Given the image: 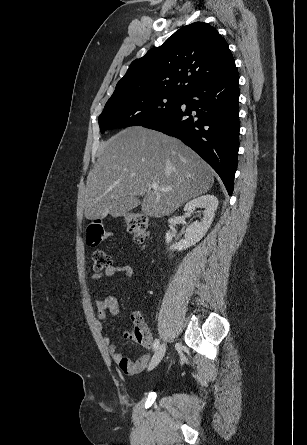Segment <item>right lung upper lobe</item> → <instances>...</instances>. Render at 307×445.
Masks as SVG:
<instances>
[{
  "label": "right lung upper lobe",
  "instance_id": "right-lung-upper-lobe-1",
  "mask_svg": "<svg viewBox=\"0 0 307 445\" xmlns=\"http://www.w3.org/2000/svg\"><path fill=\"white\" fill-rule=\"evenodd\" d=\"M226 41L203 22L184 26L160 47L134 60L111 97L172 94L185 96L234 65Z\"/></svg>",
  "mask_w": 307,
  "mask_h": 445
}]
</instances>
